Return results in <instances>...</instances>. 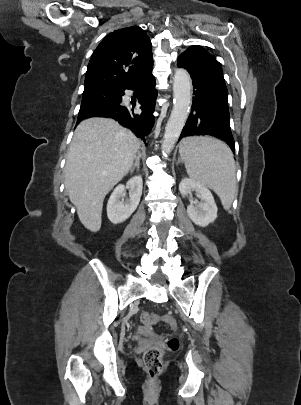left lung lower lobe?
<instances>
[{"mask_svg":"<svg viewBox=\"0 0 301 405\" xmlns=\"http://www.w3.org/2000/svg\"><path fill=\"white\" fill-rule=\"evenodd\" d=\"M177 63L178 67L190 73L194 89L191 113L179 139L187 136H213L225 141L235 153L228 92L223 75L210 62L199 57L181 54Z\"/></svg>","mask_w":301,"mask_h":405,"instance_id":"obj_1","label":"left lung lower lobe"}]
</instances>
